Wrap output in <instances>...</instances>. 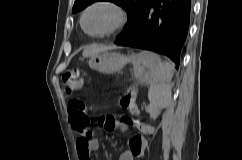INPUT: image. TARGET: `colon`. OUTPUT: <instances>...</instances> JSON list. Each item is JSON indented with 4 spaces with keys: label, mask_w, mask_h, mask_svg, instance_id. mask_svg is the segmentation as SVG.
Wrapping results in <instances>:
<instances>
[{
    "label": "colon",
    "mask_w": 242,
    "mask_h": 160,
    "mask_svg": "<svg viewBox=\"0 0 242 160\" xmlns=\"http://www.w3.org/2000/svg\"><path fill=\"white\" fill-rule=\"evenodd\" d=\"M63 89L67 95L73 94L82 86V80L79 70L77 68H71L64 72L62 77ZM120 103L122 107L129 111L128 115H125L121 120L128 124L135 122V89L127 88L121 96ZM68 109L72 115V120L76 127L87 128L89 126V118L84 111L83 104L78 100H73L69 103Z\"/></svg>",
    "instance_id": "colon-1"
}]
</instances>
